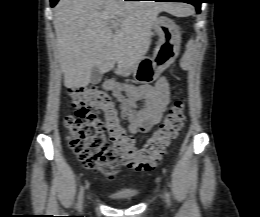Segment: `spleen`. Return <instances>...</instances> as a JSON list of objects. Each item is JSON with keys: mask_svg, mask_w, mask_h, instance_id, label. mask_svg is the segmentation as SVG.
Returning <instances> with one entry per match:
<instances>
[{"mask_svg": "<svg viewBox=\"0 0 260 217\" xmlns=\"http://www.w3.org/2000/svg\"><path fill=\"white\" fill-rule=\"evenodd\" d=\"M194 47V41L190 40L187 44V52L189 53Z\"/></svg>", "mask_w": 260, "mask_h": 217, "instance_id": "obj_1", "label": "spleen"}]
</instances>
